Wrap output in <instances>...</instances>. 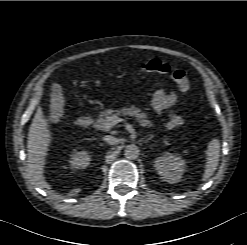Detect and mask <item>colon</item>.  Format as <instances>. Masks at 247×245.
<instances>
[{
  "label": "colon",
  "instance_id": "colon-1",
  "mask_svg": "<svg viewBox=\"0 0 247 245\" xmlns=\"http://www.w3.org/2000/svg\"><path fill=\"white\" fill-rule=\"evenodd\" d=\"M140 70L148 73H155L169 76L177 85L182 94H186L190 89V80L187 71L184 69L172 68L167 63L159 59H149L140 63ZM65 97L60 85H54L51 89V100L49 115L53 121H58L64 113ZM184 119L177 114L169 117L167 127L172 130L181 128Z\"/></svg>",
  "mask_w": 247,
  "mask_h": 245
}]
</instances>
